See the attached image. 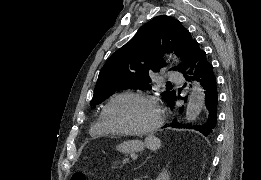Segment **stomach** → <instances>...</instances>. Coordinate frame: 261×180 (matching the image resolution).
Listing matches in <instances>:
<instances>
[{
  "label": "stomach",
  "mask_w": 261,
  "mask_h": 180,
  "mask_svg": "<svg viewBox=\"0 0 261 180\" xmlns=\"http://www.w3.org/2000/svg\"><path fill=\"white\" fill-rule=\"evenodd\" d=\"M143 148L144 144L137 140L124 141L117 147L118 151L124 154L138 152L141 151Z\"/></svg>",
  "instance_id": "1"
}]
</instances>
